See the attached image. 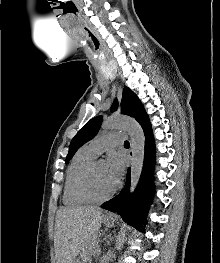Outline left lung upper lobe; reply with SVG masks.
<instances>
[{
	"label": "left lung upper lobe",
	"mask_w": 220,
	"mask_h": 263,
	"mask_svg": "<svg viewBox=\"0 0 220 263\" xmlns=\"http://www.w3.org/2000/svg\"><path fill=\"white\" fill-rule=\"evenodd\" d=\"M117 107L118 102L115 100L111 107V111H115ZM121 113L134 117L140 123L142 128L150 124L148 115L146 114L142 103L140 102L137 95L128 87L123 89ZM101 123L102 116L95 117L88 121L87 124L76 134L70 143L66 162H68L73 157L78 148H80L87 141L91 140L97 134Z\"/></svg>",
	"instance_id": "left-lung-upper-lobe-1"
}]
</instances>
